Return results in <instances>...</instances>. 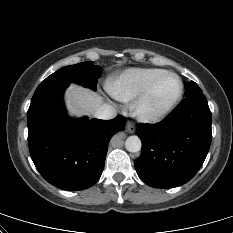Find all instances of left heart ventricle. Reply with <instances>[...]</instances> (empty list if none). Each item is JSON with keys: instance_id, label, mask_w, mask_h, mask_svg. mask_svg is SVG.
I'll return each mask as SVG.
<instances>
[{"instance_id": "obj_1", "label": "left heart ventricle", "mask_w": 233, "mask_h": 233, "mask_svg": "<svg viewBox=\"0 0 233 233\" xmlns=\"http://www.w3.org/2000/svg\"><path fill=\"white\" fill-rule=\"evenodd\" d=\"M178 83L172 76L163 77L155 86L147 103L146 110L155 112L165 106L176 95Z\"/></svg>"}]
</instances>
